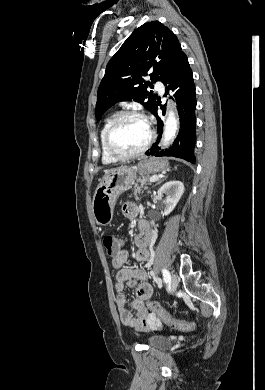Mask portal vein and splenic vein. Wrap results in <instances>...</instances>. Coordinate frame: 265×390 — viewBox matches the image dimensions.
Returning <instances> with one entry per match:
<instances>
[{"instance_id":"1","label":"portal vein and splenic vein","mask_w":265,"mask_h":390,"mask_svg":"<svg viewBox=\"0 0 265 390\" xmlns=\"http://www.w3.org/2000/svg\"><path fill=\"white\" fill-rule=\"evenodd\" d=\"M158 179H159L158 176H152V177L150 178V182H155V181H157Z\"/></svg>"}]
</instances>
